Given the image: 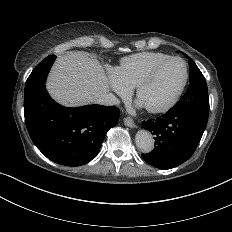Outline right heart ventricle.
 <instances>
[{"mask_svg": "<svg viewBox=\"0 0 232 232\" xmlns=\"http://www.w3.org/2000/svg\"><path fill=\"white\" fill-rule=\"evenodd\" d=\"M169 57L168 54L158 51H141L124 56L115 67L117 79L128 92L149 69Z\"/></svg>", "mask_w": 232, "mask_h": 232, "instance_id": "right-heart-ventricle-1", "label": "right heart ventricle"}]
</instances>
